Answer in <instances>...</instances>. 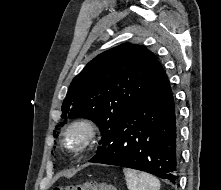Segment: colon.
I'll return each mask as SVG.
<instances>
[{
	"label": "colon",
	"mask_w": 221,
	"mask_h": 190,
	"mask_svg": "<svg viewBox=\"0 0 221 190\" xmlns=\"http://www.w3.org/2000/svg\"><path fill=\"white\" fill-rule=\"evenodd\" d=\"M53 190H115V188L105 183L89 181L82 184L56 186Z\"/></svg>",
	"instance_id": "5ec220e1"
}]
</instances>
